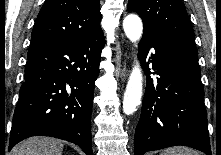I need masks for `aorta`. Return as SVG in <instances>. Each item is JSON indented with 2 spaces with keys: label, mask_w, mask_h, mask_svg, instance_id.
Here are the masks:
<instances>
[{
  "label": "aorta",
  "mask_w": 221,
  "mask_h": 155,
  "mask_svg": "<svg viewBox=\"0 0 221 155\" xmlns=\"http://www.w3.org/2000/svg\"><path fill=\"white\" fill-rule=\"evenodd\" d=\"M123 28L126 36L132 41H138L143 32V24L139 16L129 14L123 21ZM142 96V72L140 65L136 63L130 74L123 99V111L130 115L136 111L141 102Z\"/></svg>",
  "instance_id": "aorta-1"
}]
</instances>
